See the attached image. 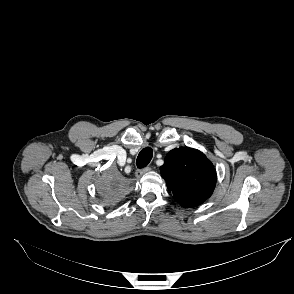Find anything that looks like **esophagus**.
<instances>
[{
    "instance_id": "obj_1",
    "label": "esophagus",
    "mask_w": 294,
    "mask_h": 294,
    "mask_svg": "<svg viewBox=\"0 0 294 294\" xmlns=\"http://www.w3.org/2000/svg\"><path fill=\"white\" fill-rule=\"evenodd\" d=\"M151 170V167H145L142 169H137L135 172V177L140 178L143 174L149 172Z\"/></svg>"
}]
</instances>
